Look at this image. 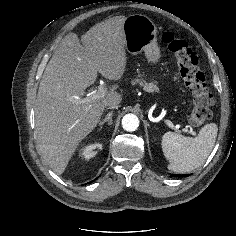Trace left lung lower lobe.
Returning a JSON list of instances; mask_svg holds the SVG:
<instances>
[{
  "mask_svg": "<svg viewBox=\"0 0 236 236\" xmlns=\"http://www.w3.org/2000/svg\"><path fill=\"white\" fill-rule=\"evenodd\" d=\"M172 176L183 177L184 175H176V174H172L171 177H172ZM185 176H188V175H185Z\"/></svg>",
  "mask_w": 236,
  "mask_h": 236,
  "instance_id": "left-lung-lower-lobe-1",
  "label": "left lung lower lobe"
}]
</instances>
